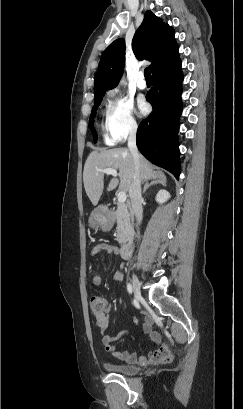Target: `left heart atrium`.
<instances>
[{
  "instance_id": "1",
  "label": "left heart atrium",
  "mask_w": 243,
  "mask_h": 409,
  "mask_svg": "<svg viewBox=\"0 0 243 409\" xmlns=\"http://www.w3.org/2000/svg\"><path fill=\"white\" fill-rule=\"evenodd\" d=\"M139 110L141 114H146L149 110L148 105L145 102H140L139 103Z\"/></svg>"
}]
</instances>
